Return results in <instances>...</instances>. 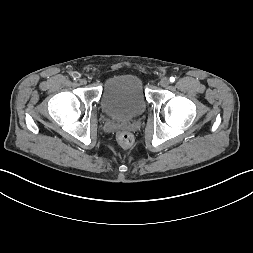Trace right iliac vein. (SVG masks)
<instances>
[{"instance_id":"right-iliac-vein-1","label":"right iliac vein","mask_w":253,"mask_h":253,"mask_svg":"<svg viewBox=\"0 0 253 253\" xmlns=\"http://www.w3.org/2000/svg\"><path fill=\"white\" fill-rule=\"evenodd\" d=\"M79 82H80V84H82V85L87 84V80L84 79V78H83V79H80Z\"/></svg>"}]
</instances>
